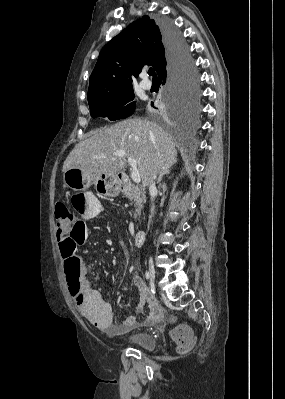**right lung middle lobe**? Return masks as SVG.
<instances>
[{"mask_svg":"<svg viewBox=\"0 0 285 399\" xmlns=\"http://www.w3.org/2000/svg\"><path fill=\"white\" fill-rule=\"evenodd\" d=\"M196 87L194 70L189 66L182 79L171 88L167 106L160 112H171L178 119L194 114L198 105ZM134 97L133 89H128L114 95L88 100L91 117H107L110 121L124 119L136 108Z\"/></svg>","mask_w":285,"mask_h":399,"instance_id":"dd1d6c3e","label":"right lung middle lobe"}]
</instances>
